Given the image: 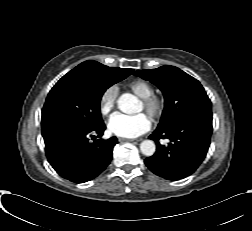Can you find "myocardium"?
Returning a JSON list of instances; mask_svg holds the SVG:
<instances>
[{
	"label": "myocardium",
	"instance_id": "myocardium-1",
	"mask_svg": "<svg viewBox=\"0 0 252 231\" xmlns=\"http://www.w3.org/2000/svg\"><path fill=\"white\" fill-rule=\"evenodd\" d=\"M143 107L146 112L154 119L160 118L165 109V100L162 97L152 95L143 99Z\"/></svg>",
	"mask_w": 252,
	"mask_h": 231
}]
</instances>
